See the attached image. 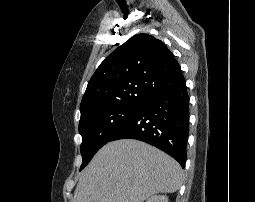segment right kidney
I'll return each instance as SVG.
<instances>
[{
	"label": "right kidney",
	"mask_w": 255,
	"mask_h": 202,
	"mask_svg": "<svg viewBox=\"0 0 255 202\" xmlns=\"http://www.w3.org/2000/svg\"><path fill=\"white\" fill-rule=\"evenodd\" d=\"M146 202H168V197L165 195H154L147 199Z\"/></svg>",
	"instance_id": "ca27d5eb"
}]
</instances>
